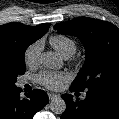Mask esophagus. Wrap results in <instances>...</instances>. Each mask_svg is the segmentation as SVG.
<instances>
[{"instance_id": "1", "label": "esophagus", "mask_w": 119, "mask_h": 119, "mask_svg": "<svg viewBox=\"0 0 119 119\" xmlns=\"http://www.w3.org/2000/svg\"><path fill=\"white\" fill-rule=\"evenodd\" d=\"M59 95L55 94V93H48V97L50 100H53L55 98H57Z\"/></svg>"}]
</instances>
